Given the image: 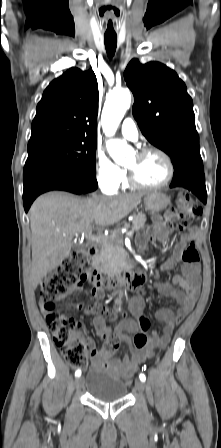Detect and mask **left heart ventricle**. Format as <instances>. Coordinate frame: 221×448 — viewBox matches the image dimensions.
Masks as SVG:
<instances>
[{
    "label": "left heart ventricle",
    "mask_w": 221,
    "mask_h": 448,
    "mask_svg": "<svg viewBox=\"0 0 221 448\" xmlns=\"http://www.w3.org/2000/svg\"><path fill=\"white\" fill-rule=\"evenodd\" d=\"M144 184L157 185L168 176V167L164 159L155 153L139 157L135 155L127 165Z\"/></svg>",
    "instance_id": "obj_1"
}]
</instances>
